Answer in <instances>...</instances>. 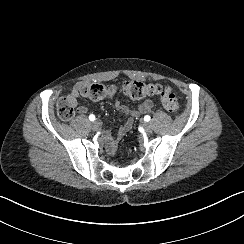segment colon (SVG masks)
I'll return each mask as SVG.
<instances>
[{
  "mask_svg": "<svg viewBox=\"0 0 244 244\" xmlns=\"http://www.w3.org/2000/svg\"><path fill=\"white\" fill-rule=\"evenodd\" d=\"M118 89L133 100L157 96L164 109L176 114L179 111L178 99L173 91L165 85L146 84L137 80H126L119 84ZM116 90L115 86L98 81L85 83L80 87V94L90 100L96 101L111 96ZM76 110V98L73 95L62 97L57 103V114L62 120L71 119Z\"/></svg>",
  "mask_w": 244,
  "mask_h": 244,
  "instance_id": "colon-1",
  "label": "colon"
}]
</instances>
